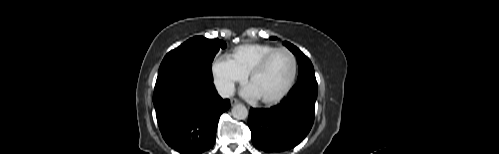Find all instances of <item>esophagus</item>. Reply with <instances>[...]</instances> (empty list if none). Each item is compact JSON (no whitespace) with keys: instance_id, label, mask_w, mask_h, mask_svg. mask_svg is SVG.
I'll use <instances>...</instances> for the list:
<instances>
[{"instance_id":"1","label":"esophagus","mask_w":499,"mask_h":154,"mask_svg":"<svg viewBox=\"0 0 499 154\" xmlns=\"http://www.w3.org/2000/svg\"><path fill=\"white\" fill-rule=\"evenodd\" d=\"M230 102H231V105H232V106H234V105H236V104H238V103H239V101H238L237 99H231V101H230Z\"/></svg>"}]
</instances>
